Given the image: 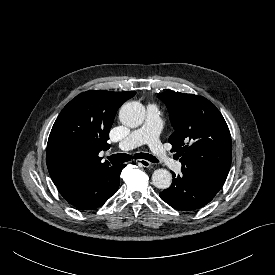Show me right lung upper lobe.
I'll list each match as a JSON object with an SVG mask.
<instances>
[{"instance_id": "1", "label": "right lung upper lobe", "mask_w": 275, "mask_h": 275, "mask_svg": "<svg viewBox=\"0 0 275 275\" xmlns=\"http://www.w3.org/2000/svg\"><path fill=\"white\" fill-rule=\"evenodd\" d=\"M136 92L89 90L77 95L61 111L49 135L47 167L56 186L108 167L98 154L110 147L109 131L116 111Z\"/></svg>"}]
</instances>
